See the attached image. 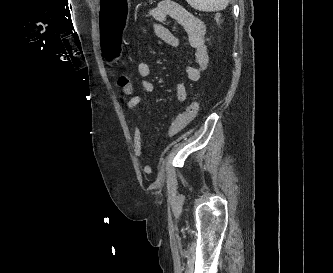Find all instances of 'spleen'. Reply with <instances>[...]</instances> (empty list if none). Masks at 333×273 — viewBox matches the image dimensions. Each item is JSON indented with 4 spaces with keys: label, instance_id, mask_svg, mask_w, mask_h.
<instances>
[{
    "label": "spleen",
    "instance_id": "spleen-1",
    "mask_svg": "<svg viewBox=\"0 0 333 273\" xmlns=\"http://www.w3.org/2000/svg\"><path fill=\"white\" fill-rule=\"evenodd\" d=\"M194 9L204 12L220 11L225 9L230 0H186Z\"/></svg>",
    "mask_w": 333,
    "mask_h": 273
}]
</instances>
